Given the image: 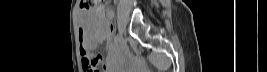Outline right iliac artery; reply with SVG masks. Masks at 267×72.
I'll list each match as a JSON object with an SVG mask.
<instances>
[{
    "instance_id": "82829eb1",
    "label": "right iliac artery",
    "mask_w": 267,
    "mask_h": 72,
    "mask_svg": "<svg viewBox=\"0 0 267 72\" xmlns=\"http://www.w3.org/2000/svg\"><path fill=\"white\" fill-rule=\"evenodd\" d=\"M119 40H120V36L117 35V36L114 37L115 43H117Z\"/></svg>"
}]
</instances>
